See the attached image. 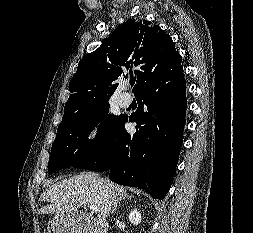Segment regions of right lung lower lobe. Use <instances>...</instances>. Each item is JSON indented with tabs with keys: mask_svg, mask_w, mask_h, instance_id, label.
I'll list each match as a JSON object with an SVG mask.
<instances>
[{
	"mask_svg": "<svg viewBox=\"0 0 253 233\" xmlns=\"http://www.w3.org/2000/svg\"><path fill=\"white\" fill-rule=\"evenodd\" d=\"M186 83L183 68L148 82L136 94L138 110L122 115L107 145L76 168L108 171L115 183L142 188L163 199L169 190L183 140L186 113ZM136 122V133L124 128Z\"/></svg>",
	"mask_w": 253,
	"mask_h": 233,
	"instance_id": "98d812e1",
	"label": "right lung lower lobe"
}]
</instances>
